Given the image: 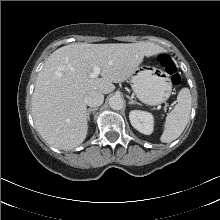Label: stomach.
<instances>
[{
  "label": "stomach",
  "mask_w": 220,
  "mask_h": 220,
  "mask_svg": "<svg viewBox=\"0 0 220 220\" xmlns=\"http://www.w3.org/2000/svg\"><path fill=\"white\" fill-rule=\"evenodd\" d=\"M131 86L140 101L158 105L167 101L172 92L169 75L155 67H141L131 77Z\"/></svg>",
  "instance_id": "stomach-1"
}]
</instances>
